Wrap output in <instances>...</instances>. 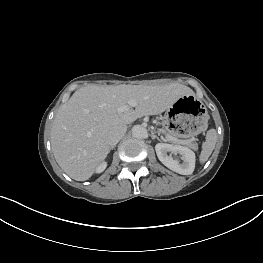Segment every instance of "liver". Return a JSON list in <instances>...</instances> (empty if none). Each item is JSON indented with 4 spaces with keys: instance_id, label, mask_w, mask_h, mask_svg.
<instances>
[{
    "instance_id": "1",
    "label": "liver",
    "mask_w": 263,
    "mask_h": 263,
    "mask_svg": "<svg viewBox=\"0 0 263 263\" xmlns=\"http://www.w3.org/2000/svg\"><path fill=\"white\" fill-rule=\"evenodd\" d=\"M193 91L182 84L87 85L75 91L57 111L51 147L58 165L76 181L88 180L110 152L109 134L146 115L167 110ZM136 102L135 109L118 108Z\"/></svg>"
}]
</instances>
